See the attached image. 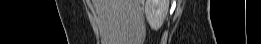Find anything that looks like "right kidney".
Wrapping results in <instances>:
<instances>
[{"label":"right kidney","mask_w":261,"mask_h":44,"mask_svg":"<svg viewBox=\"0 0 261 44\" xmlns=\"http://www.w3.org/2000/svg\"><path fill=\"white\" fill-rule=\"evenodd\" d=\"M169 0H146L145 14L150 27L158 30L167 15Z\"/></svg>","instance_id":"right-kidney-1"}]
</instances>
